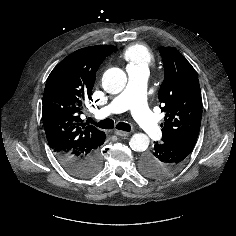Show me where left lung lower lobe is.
Returning a JSON list of instances; mask_svg holds the SVG:
<instances>
[{"mask_svg":"<svg viewBox=\"0 0 236 236\" xmlns=\"http://www.w3.org/2000/svg\"><path fill=\"white\" fill-rule=\"evenodd\" d=\"M197 138H182L155 143L153 150L141 160V169L153 179H163L176 173L185 163Z\"/></svg>","mask_w":236,"mask_h":236,"instance_id":"obj_1","label":"left lung lower lobe"}]
</instances>
